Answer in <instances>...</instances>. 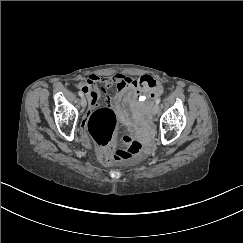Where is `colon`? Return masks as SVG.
Here are the masks:
<instances>
[{
  "mask_svg": "<svg viewBox=\"0 0 243 243\" xmlns=\"http://www.w3.org/2000/svg\"><path fill=\"white\" fill-rule=\"evenodd\" d=\"M87 129L99 148V158L104 162L110 158L132 161L139 158L143 152V144L135 139H128L126 148L116 149L118 117L110 108L94 111L88 119Z\"/></svg>",
  "mask_w": 243,
  "mask_h": 243,
  "instance_id": "obj_1",
  "label": "colon"
}]
</instances>
